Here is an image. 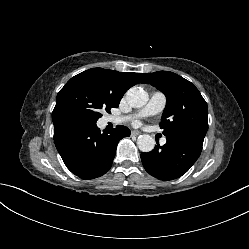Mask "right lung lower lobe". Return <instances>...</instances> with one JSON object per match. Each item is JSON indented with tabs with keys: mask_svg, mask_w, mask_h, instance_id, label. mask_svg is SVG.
<instances>
[{
	"mask_svg": "<svg viewBox=\"0 0 249 249\" xmlns=\"http://www.w3.org/2000/svg\"><path fill=\"white\" fill-rule=\"evenodd\" d=\"M54 142L67 168L83 179L105 174L112 165L118 142L130 130L118 125L100 132L96 122H89L66 111H53Z\"/></svg>",
	"mask_w": 249,
	"mask_h": 249,
	"instance_id": "obj_1",
	"label": "right lung lower lobe"
}]
</instances>
